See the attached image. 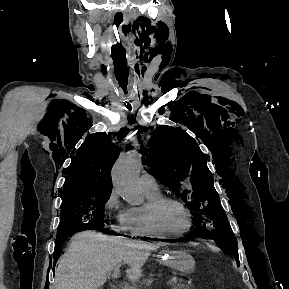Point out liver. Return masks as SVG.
<instances>
[{"label": "liver", "instance_id": "obj_1", "mask_svg": "<svg viewBox=\"0 0 289 289\" xmlns=\"http://www.w3.org/2000/svg\"><path fill=\"white\" fill-rule=\"evenodd\" d=\"M157 246L122 241L95 231L76 234L58 261L55 272V289H98L107 274L121 262L130 281H137L142 267Z\"/></svg>", "mask_w": 289, "mask_h": 289}]
</instances>
